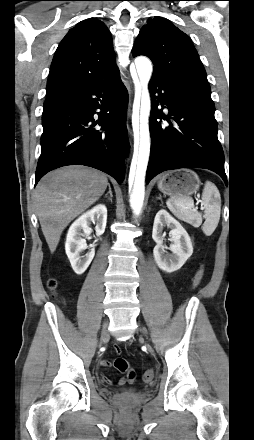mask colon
<instances>
[{
  "label": "colon",
  "mask_w": 254,
  "mask_h": 440,
  "mask_svg": "<svg viewBox=\"0 0 254 440\" xmlns=\"http://www.w3.org/2000/svg\"><path fill=\"white\" fill-rule=\"evenodd\" d=\"M203 277H204V270L203 269L198 270L193 278L192 288H197L202 282ZM48 287L51 290H55L57 287V281L54 279L50 280L48 282ZM114 366L118 371L122 373H126L128 382L133 383L136 380L137 377L136 372L133 369H130L128 362L125 359L117 358L114 361ZM152 379H153V372L151 370H147L143 375L144 382L146 383L151 382Z\"/></svg>",
  "instance_id": "colon-1"
}]
</instances>
